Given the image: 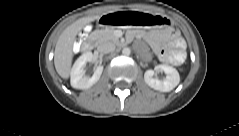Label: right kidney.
<instances>
[{"instance_id":"obj_1","label":"right kidney","mask_w":239,"mask_h":136,"mask_svg":"<svg viewBox=\"0 0 239 136\" xmlns=\"http://www.w3.org/2000/svg\"><path fill=\"white\" fill-rule=\"evenodd\" d=\"M92 52L83 53L74 63L71 69V86L75 89H88L93 86L101 77L103 66H97L92 77L85 76V65L93 61Z\"/></svg>"}]
</instances>
